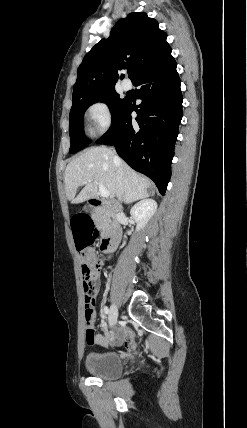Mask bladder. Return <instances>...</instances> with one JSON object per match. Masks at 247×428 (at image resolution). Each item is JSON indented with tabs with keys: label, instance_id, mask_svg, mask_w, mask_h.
I'll list each match as a JSON object with an SVG mask.
<instances>
[{
	"label": "bladder",
	"instance_id": "1",
	"mask_svg": "<svg viewBox=\"0 0 247 428\" xmlns=\"http://www.w3.org/2000/svg\"><path fill=\"white\" fill-rule=\"evenodd\" d=\"M88 373L95 377L111 379L121 375L123 362L121 357L112 351L92 352L85 362Z\"/></svg>",
	"mask_w": 247,
	"mask_h": 428
}]
</instances>
